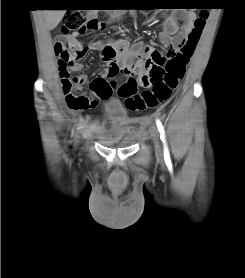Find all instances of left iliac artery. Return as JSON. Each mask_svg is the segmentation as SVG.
I'll return each instance as SVG.
<instances>
[{
	"mask_svg": "<svg viewBox=\"0 0 245 278\" xmlns=\"http://www.w3.org/2000/svg\"><path fill=\"white\" fill-rule=\"evenodd\" d=\"M156 125H157V128H158V130H159V132L161 134L160 138L163 141V143H165L164 127H163L162 123L159 120L156 121ZM164 160H165L166 163H170L171 162L170 155H169L166 143L164 145Z\"/></svg>",
	"mask_w": 245,
	"mask_h": 278,
	"instance_id": "left-iliac-artery-1",
	"label": "left iliac artery"
}]
</instances>
